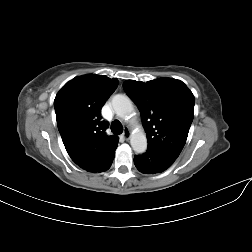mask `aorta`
Segmentation results:
<instances>
[{"label": "aorta", "mask_w": 252, "mask_h": 252, "mask_svg": "<svg viewBox=\"0 0 252 252\" xmlns=\"http://www.w3.org/2000/svg\"><path fill=\"white\" fill-rule=\"evenodd\" d=\"M112 106L115 113L121 118H128L134 114L132 101L122 94H117L112 98ZM130 144L136 153H143L147 148V138L145 133L137 128L130 136Z\"/></svg>", "instance_id": "obj_1"}]
</instances>
